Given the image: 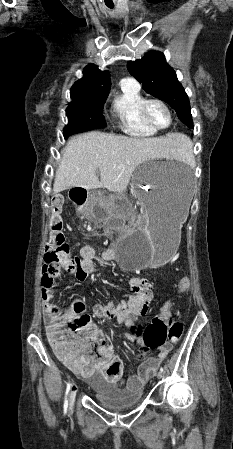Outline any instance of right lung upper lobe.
<instances>
[{
	"mask_svg": "<svg viewBox=\"0 0 233 449\" xmlns=\"http://www.w3.org/2000/svg\"><path fill=\"white\" fill-rule=\"evenodd\" d=\"M84 76L76 81L70 90L71 98L108 94L111 86L110 74L89 64L83 70Z\"/></svg>",
	"mask_w": 233,
	"mask_h": 449,
	"instance_id": "cb5924a9",
	"label": "right lung upper lobe"
}]
</instances>
